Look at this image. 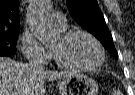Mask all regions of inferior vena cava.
Masks as SVG:
<instances>
[{"label": "inferior vena cava", "instance_id": "602c4592", "mask_svg": "<svg viewBox=\"0 0 135 95\" xmlns=\"http://www.w3.org/2000/svg\"><path fill=\"white\" fill-rule=\"evenodd\" d=\"M27 65L29 67H32V68L38 67V65L36 64V62L34 60L33 61H30Z\"/></svg>", "mask_w": 135, "mask_h": 95}]
</instances>
